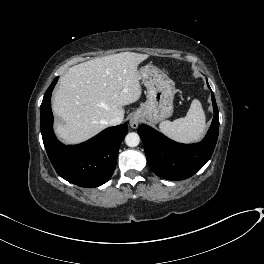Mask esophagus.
<instances>
[{"instance_id": "1", "label": "esophagus", "mask_w": 264, "mask_h": 264, "mask_svg": "<svg viewBox=\"0 0 264 264\" xmlns=\"http://www.w3.org/2000/svg\"><path fill=\"white\" fill-rule=\"evenodd\" d=\"M139 115L137 113H133L130 120H129V124L131 126V128L136 129L139 125Z\"/></svg>"}]
</instances>
